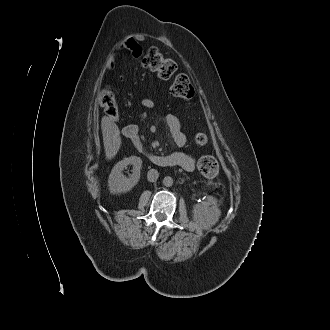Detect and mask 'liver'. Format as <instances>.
I'll use <instances>...</instances> for the list:
<instances>
[{
	"label": "liver",
	"mask_w": 330,
	"mask_h": 330,
	"mask_svg": "<svg viewBox=\"0 0 330 330\" xmlns=\"http://www.w3.org/2000/svg\"><path fill=\"white\" fill-rule=\"evenodd\" d=\"M105 155L108 160L112 159L121 146L120 130L118 126L108 117L101 121Z\"/></svg>",
	"instance_id": "liver-1"
}]
</instances>
